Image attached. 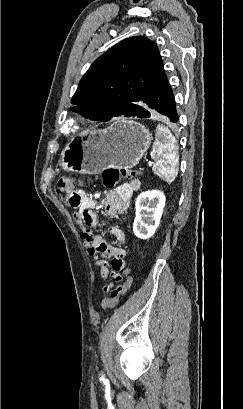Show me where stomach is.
<instances>
[{
  "label": "stomach",
  "mask_w": 243,
  "mask_h": 409,
  "mask_svg": "<svg viewBox=\"0 0 243 409\" xmlns=\"http://www.w3.org/2000/svg\"><path fill=\"white\" fill-rule=\"evenodd\" d=\"M153 137L142 124L118 120L103 130L85 131L73 138L61 153L63 170L97 174L111 167L133 168Z\"/></svg>",
  "instance_id": "1"
}]
</instances>
